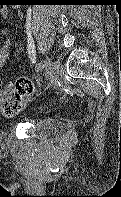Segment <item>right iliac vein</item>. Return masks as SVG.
Returning <instances> with one entry per match:
<instances>
[{
	"label": "right iliac vein",
	"mask_w": 121,
	"mask_h": 197,
	"mask_svg": "<svg viewBox=\"0 0 121 197\" xmlns=\"http://www.w3.org/2000/svg\"><path fill=\"white\" fill-rule=\"evenodd\" d=\"M53 73V63L51 59L46 56L45 61H44V74H45V79L48 80Z\"/></svg>",
	"instance_id": "1"
}]
</instances>
